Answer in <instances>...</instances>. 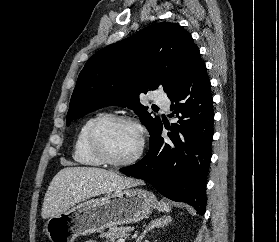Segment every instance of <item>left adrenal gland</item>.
I'll list each match as a JSON object with an SVG mask.
<instances>
[{
    "instance_id": "a2214340",
    "label": "left adrenal gland",
    "mask_w": 279,
    "mask_h": 242,
    "mask_svg": "<svg viewBox=\"0 0 279 242\" xmlns=\"http://www.w3.org/2000/svg\"><path fill=\"white\" fill-rule=\"evenodd\" d=\"M171 221L170 216H162L160 218H156L148 224V226L144 229L143 233L137 238L136 242H140L146 235L148 231H150L153 228H160L165 225H167Z\"/></svg>"
}]
</instances>
